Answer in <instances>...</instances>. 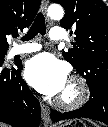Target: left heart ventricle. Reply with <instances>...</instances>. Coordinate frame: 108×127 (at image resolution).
<instances>
[{"label":"left heart ventricle","mask_w":108,"mask_h":127,"mask_svg":"<svg viewBox=\"0 0 108 127\" xmlns=\"http://www.w3.org/2000/svg\"><path fill=\"white\" fill-rule=\"evenodd\" d=\"M71 94H72V88H71V86L67 83L66 87H65L64 90L61 92V95L70 96Z\"/></svg>","instance_id":"1"}]
</instances>
